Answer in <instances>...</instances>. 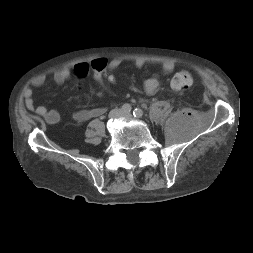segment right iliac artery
Here are the masks:
<instances>
[{
	"instance_id": "obj_1",
	"label": "right iliac artery",
	"mask_w": 253,
	"mask_h": 253,
	"mask_svg": "<svg viewBox=\"0 0 253 253\" xmlns=\"http://www.w3.org/2000/svg\"><path fill=\"white\" fill-rule=\"evenodd\" d=\"M131 110H132V107H131L129 104H124V105L122 106V111H123L124 113H130Z\"/></svg>"
}]
</instances>
